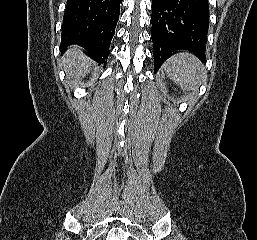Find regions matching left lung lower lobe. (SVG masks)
Masks as SVG:
<instances>
[{
	"label": "left lung lower lobe",
	"mask_w": 257,
	"mask_h": 240,
	"mask_svg": "<svg viewBox=\"0 0 257 240\" xmlns=\"http://www.w3.org/2000/svg\"><path fill=\"white\" fill-rule=\"evenodd\" d=\"M151 23L155 72L176 50L193 52L205 62L208 0H152Z\"/></svg>",
	"instance_id": "1"
}]
</instances>
